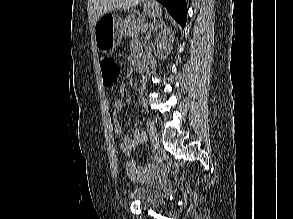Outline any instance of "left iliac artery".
Masks as SVG:
<instances>
[{"label": "left iliac artery", "instance_id": "44dca946", "mask_svg": "<svg viewBox=\"0 0 293 219\" xmlns=\"http://www.w3.org/2000/svg\"><path fill=\"white\" fill-rule=\"evenodd\" d=\"M142 104H143V106L145 108V112L148 114V108H147V104H146V101H145L144 97L142 98Z\"/></svg>", "mask_w": 293, "mask_h": 219}]
</instances>
